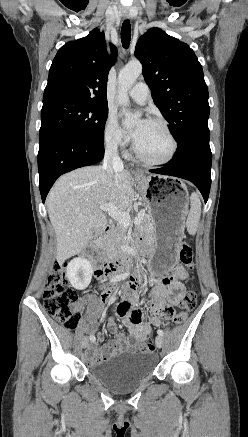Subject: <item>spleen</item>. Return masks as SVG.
<instances>
[{
	"instance_id": "3e777b00",
	"label": "spleen",
	"mask_w": 248,
	"mask_h": 437,
	"mask_svg": "<svg viewBox=\"0 0 248 437\" xmlns=\"http://www.w3.org/2000/svg\"><path fill=\"white\" fill-rule=\"evenodd\" d=\"M201 216V201L197 193L190 197V211L186 220V228L189 234L195 235Z\"/></svg>"
}]
</instances>
